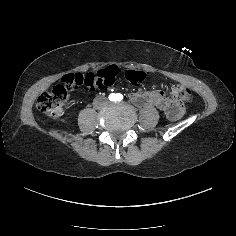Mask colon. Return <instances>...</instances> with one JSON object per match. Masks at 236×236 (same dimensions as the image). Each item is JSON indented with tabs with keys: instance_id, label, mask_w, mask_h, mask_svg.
Returning <instances> with one entry per match:
<instances>
[{
	"instance_id": "5ec220e1",
	"label": "colon",
	"mask_w": 236,
	"mask_h": 236,
	"mask_svg": "<svg viewBox=\"0 0 236 236\" xmlns=\"http://www.w3.org/2000/svg\"><path fill=\"white\" fill-rule=\"evenodd\" d=\"M118 75L119 70L116 66H108L93 73L65 75L61 84L56 85L50 92H45L38 97L37 107L42 113L54 119H60L64 115L69 92L82 86L91 91L104 89L112 85ZM123 75L132 85L141 84L145 78V74L138 70H127ZM176 95L182 103L189 102L192 97L191 90L184 87H177Z\"/></svg>"
}]
</instances>
